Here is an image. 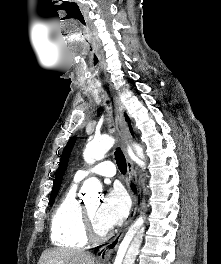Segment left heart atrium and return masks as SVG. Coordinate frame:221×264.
I'll use <instances>...</instances> for the list:
<instances>
[{
	"mask_svg": "<svg viewBox=\"0 0 221 264\" xmlns=\"http://www.w3.org/2000/svg\"><path fill=\"white\" fill-rule=\"evenodd\" d=\"M128 210L129 200L126 193L121 188L115 187L98 206L96 217L99 223L109 230L127 216Z\"/></svg>",
	"mask_w": 221,
	"mask_h": 264,
	"instance_id": "obj_1",
	"label": "left heart atrium"
}]
</instances>
